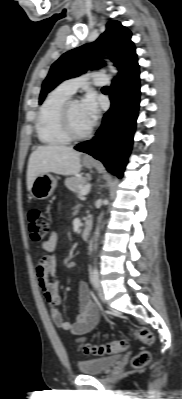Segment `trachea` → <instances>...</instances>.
I'll use <instances>...</instances> for the list:
<instances>
[{"mask_svg":"<svg viewBox=\"0 0 182 399\" xmlns=\"http://www.w3.org/2000/svg\"><path fill=\"white\" fill-rule=\"evenodd\" d=\"M103 89H109V87H108V86H105V87H103Z\"/></svg>","mask_w":182,"mask_h":399,"instance_id":"1","label":"trachea"}]
</instances>
